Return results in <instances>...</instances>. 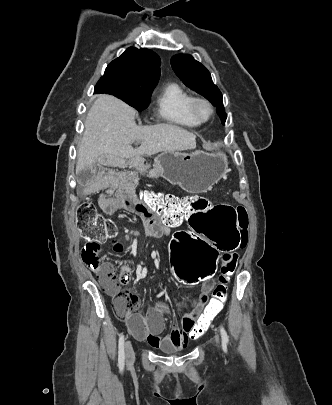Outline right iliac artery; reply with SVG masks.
I'll return each instance as SVG.
<instances>
[{
  "label": "right iliac artery",
  "mask_w": 332,
  "mask_h": 405,
  "mask_svg": "<svg viewBox=\"0 0 332 405\" xmlns=\"http://www.w3.org/2000/svg\"><path fill=\"white\" fill-rule=\"evenodd\" d=\"M118 365L119 368L122 370L124 368L125 362V353H124V336L121 335L119 338V351H118Z\"/></svg>",
  "instance_id": "obj_1"
}]
</instances>
